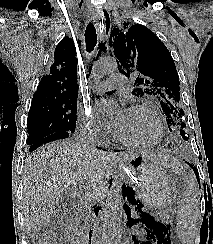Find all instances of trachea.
Listing matches in <instances>:
<instances>
[{
    "label": "trachea",
    "instance_id": "obj_1",
    "mask_svg": "<svg viewBox=\"0 0 213 244\" xmlns=\"http://www.w3.org/2000/svg\"><path fill=\"white\" fill-rule=\"evenodd\" d=\"M85 41H86V49L88 52H91L96 43H97V34L96 29L92 23H89L85 30Z\"/></svg>",
    "mask_w": 213,
    "mask_h": 244
}]
</instances>
